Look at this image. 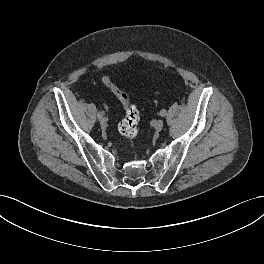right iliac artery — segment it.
I'll return each mask as SVG.
<instances>
[{"label": "right iliac artery", "instance_id": "obj_1", "mask_svg": "<svg viewBox=\"0 0 264 264\" xmlns=\"http://www.w3.org/2000/svg\"><path fill=\"white\" fill-rule=\"evenodd\" d=\"M104 113L103 111H98V118L101 119L103 117Z\"/></svg>", "mask_w": 264, "mask_h": 264}]
</instances>
